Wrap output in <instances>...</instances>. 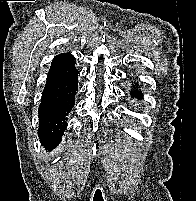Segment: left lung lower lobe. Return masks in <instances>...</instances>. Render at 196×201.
<instances>
[{
    "label": "left lung lower lobe",
    "mask_w": 196,
    "mask_h": 201,
    "mask_svg": "<svg viewBox=\"0 0 196 201\" xmlns=\"http://www.w3.org/2000/svg\"><path fill=\"white\" fill-rule=\"evenodd\" d=\"M130 94L132 97H136V98L143 97V94L141 93V91H138V88L136 87V85H133V89L130 91Z\"/></svg>",
    "instance_id": "0a47b994"
}]
</instances>
